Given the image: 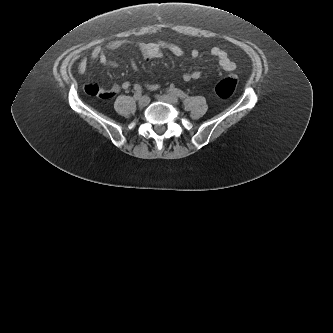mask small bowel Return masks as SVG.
Listing matches in <instances>:
<instances>
[{"label": "small bowel", "instance_id": "1", "mask_svg": "<svg viewBox=\"0 0 333 333\" xmlns=\"http://www.w3.org/2000/svg\"><path fill=\"white\" fill-rule=\"evenodd\" d=\"M125 44L126 41L113 40L108 42L105 46H95L91 51V59L100 62L104 66H115V64L108 59L107 52L120 49L125 46ZM164 49L168 50L177 57H181L184 55V50L180 46L173 43L160 41L157 43H143L140 45V51L142 53V56L146 60L159 58L162 55V51ZM190 55L193 59H196L199 56V53L197 50H192ZM211 55L217 59L219 67L223 71L231 72L235 69V63L229 59L227 53L223 49L214 47L211 50ZM131 67L133 69H136L137 67V64L134 60L131 61ZM87 68L88 61L85 57H83L78 63L77 71L79 74H84L87 71ZM201 77L202 72L199 70H195L189 73H185L182 76V80L184 82H190L191 80H197ZM131 86L132 85L130 82H124L122 85H113L111 88L106 89L103 87H99L96 84H86L84 85V91L89 95H99L102 98L108 99L114 97L117 93L120 92L121 89L128 90L131 88ZM147 87L150 90H157L159 88V86L156 84H150L147 85ZM134 89L136 91L142 90L141 86L137 84L134 85Z\"/></svg>", "mask_w": 333, "mask_h": 333}]
</instances>
